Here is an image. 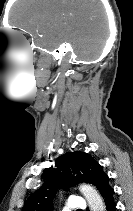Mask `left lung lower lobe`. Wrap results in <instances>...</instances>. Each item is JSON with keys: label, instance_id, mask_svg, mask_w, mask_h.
<instances>
[{"label": "left lung lower lobe", "instance_id": "1", "mask_svg": "<svg viewBox=\"0 0 133 211\" xmlns=\"http://www.w3.org/2000/svg\"><path fill=\"white\" fill-rule=\"evenodd\" d=\"M107 211H116V203L114 200V190L111 187H108L106 190L103 191L101 194Z\"/></svg>", "mask_w": 133, "mask_h": 211}]
</instances>
